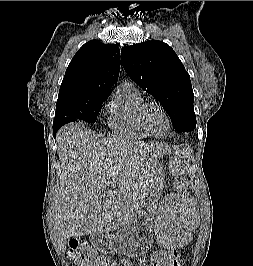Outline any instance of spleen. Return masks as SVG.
I'll use <instances>...</instances> for the list:
<instances>
[{"label": "spleen", "mask_w": 253, "mask_h": 266, "mask_svg": "<svg viewBox=\"0 0 253 266\" xmlns=\"http://www.w3.org/2000/svg\"><path fill=\"white\" fill-rule=\"evenodd\" d=\"M188 160H173V169H188ZM172 199H197V190H172ZM199 211L192 207H158L154 215V239L156 246L165 248H188L189 242H196L195 219Z\"/></svg>", "instance_id": "3e777b00"}]
</instances>
